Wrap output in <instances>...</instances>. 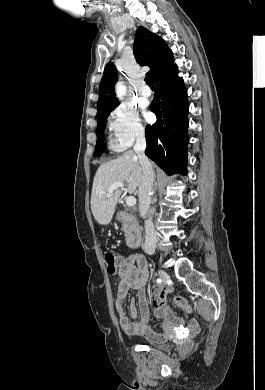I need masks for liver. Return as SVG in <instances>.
Segmentation results:
<instances>
[{
  "label": "liver",
  "mask_w": 265,
  "mask_h": 390,
  "mask_svg": "<svg viewBox=\"0 0 265 390\" xmlns=\"http://www.w3.org/2000/svg\"><path fill=\"white\" fill-rule=\"evenodd\" d=\"M143 177L142 166L137 154L128 150L117 159L101 164L94 177L91 210L95 220L106 225L111 222L116 205L121 196L122 189H116L110 196L108 190L116 182H126L127 191L138 194Z\"/></svg>",
  "instance_id": "obj_1"
}]
</instances>
